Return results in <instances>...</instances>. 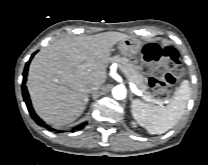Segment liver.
Returning <instances> with one entry per match:
<instances>
[{"instance_id":"obj_1","label":"liver","mask_w":208,"mask_h":165,"mask_svg":"<svg viewBox=\"0 0 208 165\" xmlns=\"http://www.w3.org/2000/svg\"><path fill=\"white\" fill-rule=\"evenodd\" d=\"M129 39L119 32H104L57 40L32 60L27 88L36 113L44 121L66 125L83 112L92 84L102 85L111 61V48Z\"/></svg>"}]
</instances>
